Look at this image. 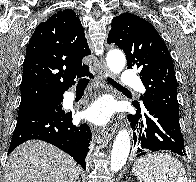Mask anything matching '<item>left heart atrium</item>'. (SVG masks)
Returning a JSON list of instances; mask_svg holds the SVG:
<instances>
[{
	"label": "left heart atrium",
	"mask_w": 196,
	"mask_h": 182,
	"mask_svg": "<svg viewBox=\"0 0 196 182\" xmlns=\"http://www.w3.org/2000/svg\"><path fill=\"white\" fill-rule=\"evenodd\" d=\"M113 111V105L109 100L100 99L86 111L85 116L91 122L103 125L110 120Z\"/></svg>",
	"instance_id": "1"
}]
</instances>
